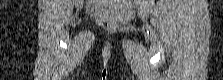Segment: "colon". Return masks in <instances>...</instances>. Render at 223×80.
<instances>
[{"mask_svg": "<svg viewBox=\"0 0 223 80\" xmlns=\"http://www.w3.org/2000/svg\"><path fill=\"white\" fill-rule=\"evenodd\" d=\"M102 25L105 26V27H107V28L113 27V24L111 22H108V21H103L102 22Z\"/></svg>", "mask_w": 223, "mask_h": 80, "instance_id": "obj_1", "label": "colon"}]
</instances>
